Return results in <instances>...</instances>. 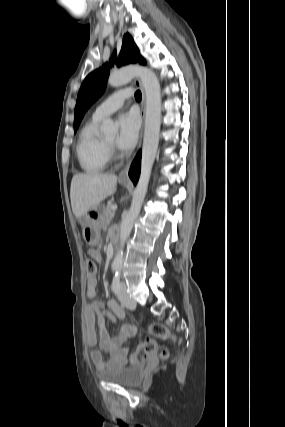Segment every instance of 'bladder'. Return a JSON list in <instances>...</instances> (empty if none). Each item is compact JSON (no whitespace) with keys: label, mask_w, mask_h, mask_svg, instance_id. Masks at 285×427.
Returning <instances> with one entry per match:
<instances>
[{"label":"bladder","mask_w":285,"mask_h":427,"mask_svg":"<svg viewBox=\"0 0 285 427\" xmlns=\"http://www.w3.org/2000/svg\"><path fill=\"white\" fill-rule=\"evenodd\" d=\"M143 375L144 370L141 365H131L99 372L98 378L104 382L133 387L141 382Z\"/></svg>","instance_id":"31cf9c89"}]
</instances>
